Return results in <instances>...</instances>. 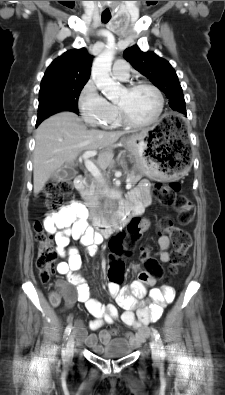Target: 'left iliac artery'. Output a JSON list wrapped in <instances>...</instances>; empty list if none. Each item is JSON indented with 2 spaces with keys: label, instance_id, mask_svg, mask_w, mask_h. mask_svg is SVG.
<instances>
[{
  "label": "left iliac artery",
  "instance_id": "44dca946",
  "mask_svg": "<svg viewBox=\"0 0 225 395\" xmlns=\"http://www.w3.org/2000/svg\"><path fill=\"white\" fill-rule=\"evenodd\" d=\"M152 331H153V335L155 337V340L158 342V344L160 346V349H161L160 355H161V357H165L166 353H165V350H164V346H163V342H162V339L160 337V334L158 333V331L156 329H153Z\"/></svg>",
  "mask_w": 225,
  "mask_h": 395
}]
</instances>
